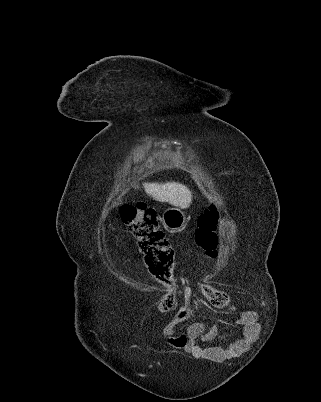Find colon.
Masks as SVG:
<instances>
[{
    "instance_id": "1",
    "label": "colon",
    "mask_w": 321,
    "mask_h": 402,
    "mask_svg": "<svg viewBox=\"0 0 321 402\" xmlns=\"http://www.w3.org/2000/svg\"><path fill=\"white\" fill-rule=\"evenodd\" d=\"M121 220L136 239L147 270L160 283V287L167 291L159 300V311H171L176 303L174 250L158 225L156 211L142 203L129 204L121 209ZM218 223L219 213L215 206L205 210L197 220L196 244L211 259L218 255ZM198 292L206 296L215 308L222 309L230 303V297L225 291L213 288L205 281L200 283Z\"/></svg>"
}]
</instances>
